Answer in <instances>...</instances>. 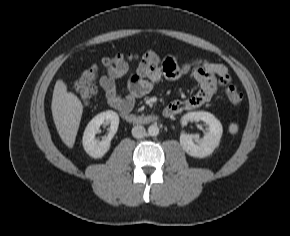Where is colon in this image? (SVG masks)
Returning a JSON list of instances; mask_svg holds the SVG:
<instances>
[{"mask_svg":"<svg viewBox=\"0 0 290 236\" xmlns=\"http://www.w3.org/2000/svg\"><path fill=\"white\" fill-rule=\"evenodd\" d=\"M135 58L136 55L134 54H118L114 57L103 59L102 65L108 67ZM98 72L99 67L94 65L85 70L76 82V91L85 104L89 103L96 93L95 79ZM227 97L232 104H239L243 100V94L232 86L227 89Z\"/></svg>","mask_w":290,"mask_h":236,"instance_id":"1","label":"colon"}]
</instances>
